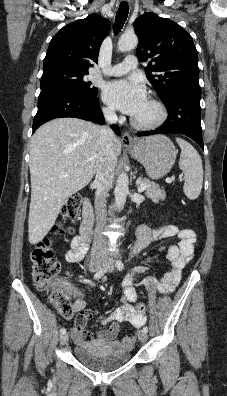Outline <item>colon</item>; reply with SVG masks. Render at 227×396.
Here are the masks:
<instances>
[{"instance_id":"5ec220e1","label":"colon","mask_w":227,"mask_h":396,"mask_svg":"<svg viewBox=\"0 0 227 396\" xmlns=\"http://www.w3.org/2000/svg\"><path fill=\"white\" fill-rule=\"evenodd\" d=\"M81 196L74 194L68 197L62 207V218L52 229V234L57 237H65L72 233V228L66 224V220L75 221L81 206ZM32 276L36 287L41 291L50 293V299L57 307L62 316L69 318L73 315V307L63 292L62 285L58 280L60 263L54 256L52 241L44 238L37 242L31 253ZM135 309L138 313H145L146 305L137 303Z\"/></svg>"}]
</instances>
